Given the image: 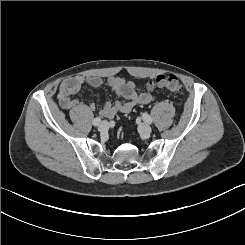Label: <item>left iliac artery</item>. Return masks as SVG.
Here are the masks:
<instances>
[{"mask_svg": "<svg viewBox=\"0 0 245 245\" xmlns=\"http://www.w3.org/2000/svg\"><path fill=\"white\" fill-rule=\"evenodd\" d=\"M142 117H143V120H144L145 122L149 123V124H151V123L153 122L152 117H150L147 113H144V114L142 115Z\"/></svg>", "mask_w": 245, "mask_h": 245, "instance_id": "obj_1", "label": "left iliac artery"}]
</instances>
